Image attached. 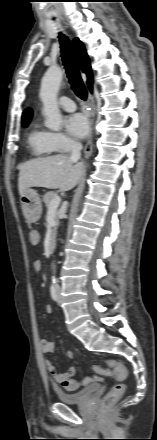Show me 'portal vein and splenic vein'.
Segmentation results:
<instances>
[{
	"label": "portal vein and splenic vein",
	"instance_id": "obj_1",
	"mask_svg": "<svg viewBox=\"0 0 157 440\" xmlns=\"http://www.w3.org/2000/svg\"><path fill=\"white\" fill-rule=\"evenodd\" d=\"M61 202V198L60 197H56L55 199H53L49 205L48 210L49 211H56L58 206L60 205Z\"/></svg>",
	"mask_w": 157,
	"mask_h": 440
}]
</instances>
